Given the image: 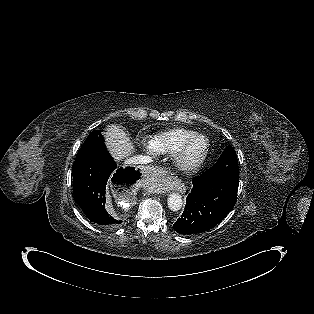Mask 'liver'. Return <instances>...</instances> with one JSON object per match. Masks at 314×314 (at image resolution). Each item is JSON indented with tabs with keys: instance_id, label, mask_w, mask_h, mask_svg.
<instances>
[{
	"instance_id": "liver-1",
	"label": "liver",
	"mask_w": 314,
	"mask_h": 314,
	"mask_svg": "<svg viewBox=\"0 0 314 314\" xmlns=\"http://www.w3.org/2000/svg\"><path fill=\"white\" fill-rule=\"evenodd\" d=\"M103 135L106 146L115 160L119 161L133 153V144L120 126L109 125Z\"/></svg>"
}]
</instances>
